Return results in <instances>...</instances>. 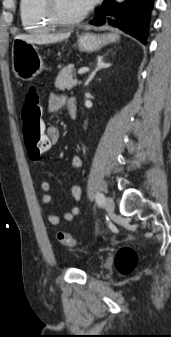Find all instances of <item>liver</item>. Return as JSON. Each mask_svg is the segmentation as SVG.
<instances>
[{"mask_svg": "<svg viewBox=\"0 0 171 337\" xmlns=\"http://www.w3.org/2000/svg\"><path fill=\"white\" fill-rule=\"evenodd\" d=\"M69 36L70 33H63V34L43 33L36 35H17L15 39H20L35 44H48L62 41L64 39H67Z\"/></svg>", "mask_w": 171, "mask_h": 337, "instance_id": "1", "label": "liver"}]
</instances>
